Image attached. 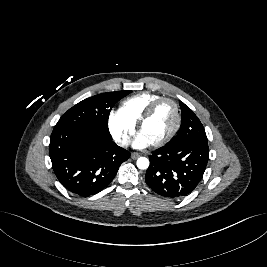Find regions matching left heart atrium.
<instances>
[{
    "label": "left heart atrium",
    "instance_id": "39dd6f15",
    "mask_svg": "<svg viewBox=\"0 0 267 267\" xmlns=\"http://www.w3.org/2000/svg\"><path fill=\"white\" fill-rule=\"evenodd\" d=\"M152 145V143L141 133H139L133 141L135 148H146Z\"/></svg>",
    "mask_w": 267,
    "mask_h": 267
}]
</instances>
